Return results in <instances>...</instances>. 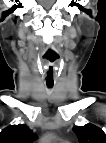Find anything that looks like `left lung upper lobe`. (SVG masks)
I'll return each mask as SVG.
<instances>
[{
  "instance_id": "left-lung-upper-lobe-1",
  "label": "left lung upper lobe",
  "mask_w": 106,
  "mask_h": 143,
  "mask_svg": "<svg viewBox=\"0 0 106 143\" xmlns=\"http://www.w3.org/2000/svg\"><path fill=\"white\" fill-rule=\"evenodd\" d=\"M73 131L80 143H106V135L103 130L93 124L75 126Z\"/></svg>"
}]
</instances>
